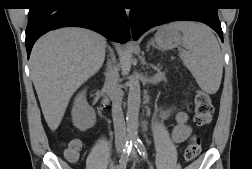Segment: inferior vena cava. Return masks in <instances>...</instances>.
Masks as SVG:
<instances>
[{"instance_id":"1","label":"inferior vena cava","mask_w":252,"mask_h":169,"mask_svg":"<svg viewBox=\"0 0 252 169\" xmlns=\"http://www.w3.org/2000/svg\"><path fill=\"white\" fill-rule=\"evenodd\" d=\"M115 63V58L113 61ZM107 66L105 73V85L112 100V118L115 132V145L123 148L127 140V132L124 114L122 111L123 91L119 85V68L112 63Z\"/></svg>"}]
</instances>
